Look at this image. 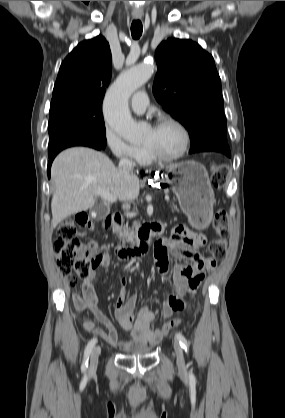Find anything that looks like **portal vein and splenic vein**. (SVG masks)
Returning a JSON list of instances; mask_svg holds the SVG:
<instances>
[{"mask_svg":"<svg viewBox=\"0 0 285 418\" xmlns=\"http://www.w3.org/2000/svg\"><path fill=\"white\" fill-rule=\"evenodd\" d=\"M95 193L97 194V195H100L105 201H108V202H116L117 201V198L116 197H114L111 193H109L108 191H104V190H97V191H95ZM165 200L166 201H168L169 200V197H165Z\"/></svg>","mask_w":285,"mask_h":418,"instance_id":"obj_1","label":"portal vein and splenic vein"}]
</instances>
